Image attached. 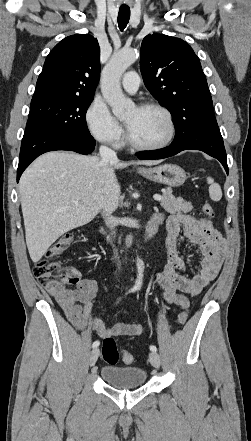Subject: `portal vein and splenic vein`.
Masks as SVG:
<instances>
[{
    "instance_id": "18ae733b",
    "label": "portal vein and splenic vein",
    "mask_w": 251,
    "mask_h": 441,
    "mask_svg": "<svg viewBox=\"0 0 251 441\" xmlns=\"http://www.w3.org/2000/svg\"><path fill=\"white\" fill-rule=\"evenodd\" d=\"M153 198H154V200H156V201H161L163 197H162L161 195L155 194V195L153 196Z\"/></svg>"
}]
</instances>
